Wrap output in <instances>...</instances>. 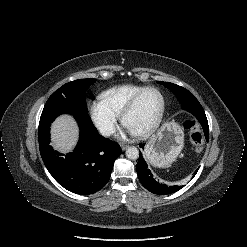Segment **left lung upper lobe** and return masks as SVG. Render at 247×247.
Wrapping results in <instances>:
<instances>
[{
  "label": "left lung upper lobe",
  "instance_id": "left-lung-upper-lobe-1",
  "mask_svg": "<svg viewBox=\"0 0 247 247\" xmlns=\"http://www.w3.org/2000/svg\"><path fill=\"white\" fill-rule=\"evenodd\" d=\"M166 88L172 91L178 98L184 110L192 114L198 121L202 118H206L205 112L199 103V101L193 96V94L185 88L169 82H159Z\"/></svg>",
  "mask_w": 247,
  "mask_h": 247
}]
</instances>
